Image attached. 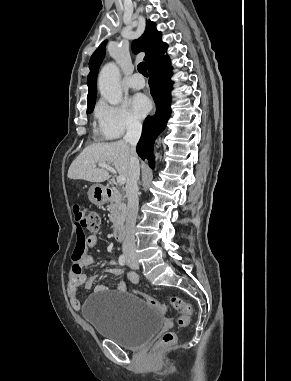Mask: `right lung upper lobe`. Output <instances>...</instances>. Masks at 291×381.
<instances>
[{
  "mask_svg": "<svg viewBox=\"0 0 291 381\" xmlns=\"http://www.w3.org/2000/svg\"><path fill=\"white\" fill-rule=\"evenodd\" d=\"M162 33L156 30V24L150 20L146 22V30L144 34L133 42V51L139 53L145 51L146 55L144 60L147 68H150L166 56L164 53L167 50V44L161 40ZM107 41L100 44L97 50L91 56L89 62L90 73L87 78V84L89 88L87 96V105L95 102L96 100V78L99 70V66L105 56V46Z\"/></svg>",
  "mask_w": 291,
  "mask_h": 381,
  "instance_id": "cb5924a9",
  "label": "right lung upper lobe"
}]
</instances>
